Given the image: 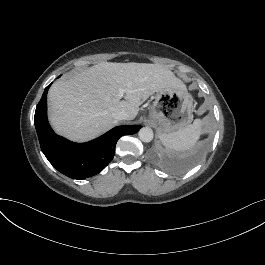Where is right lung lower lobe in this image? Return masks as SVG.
Segmentation results:
<instances>
[{
  "instance_id": "obj_1",
  "label": "right lung lower lobe",
  "mask_w": 265,
  "mask_h": 265,
  "mask_svg": "<svg viewBox=\"0 0 265 265\" xmlns=\"http://www.w3.org/2000/svg\"><path fill=\"white\" fill-rule=\"evenodd\" d=\"M50 85L45 88L36 107L34 124L42 152L53 167L70 178L84 179L101 172L113 159L118 139L135 134L142 127L118 126L93 141L71 142L55 134L48 123L46 111Z\"/></svg>"
}]
</instances>
